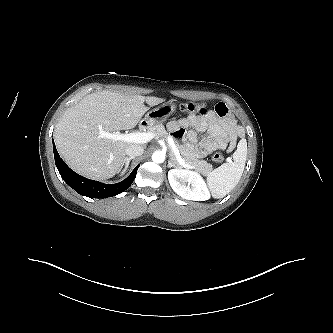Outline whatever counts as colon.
Listing matches in <instances>:
<instances>
[{
  "label": "colon",
  "instance_id": "5ec220e1",
  "mask_svg": "<svg viewBox=\"0 0 333 333\" xmlns=\"http://www.w3.org/2000/svg\"><path fill=\"white\" fill-rule=\"evenodd\" d=\"M181 110L185 112H201L204 109V104L195 101H186L180 105ZM224 155L222 152H216L213 155V160L215 162H222Z\"/></svg>",
  "mask_w": 333,
  "mask_h": 333
}]
</instances>
